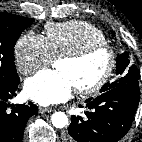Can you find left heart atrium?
I'll return each mask as SVG.
<instances>
[{
	"mask_svg": "<svg viewBox=\"0 0 142 142\" xmlns=\"http://www.w3.org/2000/svg\"><path fill=\"white\" fill-rule=\"evenodd\" d=\"M74 86L62 71L42 70L24 84L26 95L40 105H50L68 99Z\"/></svg>",
	"mask_w": 142,
	"mask_h": 142,
	"instance_id": "left-heart-atrium-1",
	"label": "left heart atrium"
}]
</instances>
